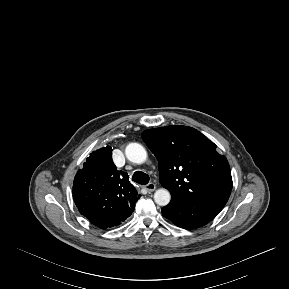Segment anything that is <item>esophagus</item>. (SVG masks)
<instances>
[{
  "label": "esophagus",
  "mask_w": 289,
  "mask_h": 289,
  "mask_svg": "<svg viewBox=\"0 0 289 289\" xmlns=\"http://www.w3.org/2000/svg\"><path fill=\"white\" fill-rule=\"evenodd\" d=\"M145 189L148 191V192H152L156 189V185L154 183H148L146 186H145Z\"/></svg>",
  "instance_id": "esophagus-1"
}]
</instances>
